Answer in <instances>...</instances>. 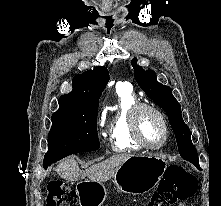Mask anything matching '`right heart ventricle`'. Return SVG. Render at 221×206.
<instances>
[{
    "mask_svg": "<svg viewBox=\"0 0 221 206\" xmlns=\"http://www.w3.org/2000/svg\"><path fill=\"white\" fill-rule=\"evenodd\" d=\"M136 103L139 102L128 86L117 85L116 107L107 126L109 141L114 151L141 149L133 139L130 128L131 109Z\"/></svg>",
    "mask_w": 221,
    "mask_h": 206,
    "instance_id": "1",
    "label": "right heart ventricle"
}]
</instances>
